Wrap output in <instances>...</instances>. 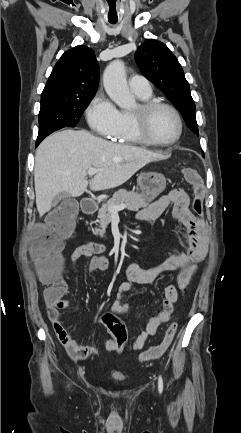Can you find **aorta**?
I'll list each match as a JSON object with an SVG mask.
<instances>
[{"instance_id":"1","label":"aorta","mask_w":241,"mask_h":433,"mask_svg":"<svg viewBox=\"0 0 241 433\" xmlns=\"http://www.w3.org/2000/svg\"><path fill=\"white\" fill-rule=\"evenodd\" d=\"M103 84L108 96L120 108L130 109L135 105V99L128 88L125 66L121 60H114L106 67Z\"/></svg>"}]
</instances>
